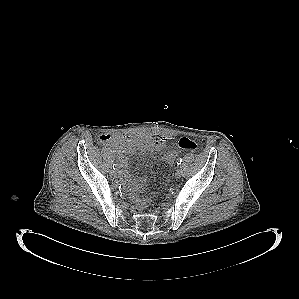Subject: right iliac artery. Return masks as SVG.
<instances>
[{
    "label": "right iliac artery",
    "instance_id": "82829eb1",
    "mask_svg": "<svg viewBox=\"0 0 299 299\" xmlns=\"http://www.w3.org/2000/svg\"><path fill=\"white\" fill-rule=\"evenodd\" d=\"M113 169H115V164H113Z\"/></svg>",
    "mask_w": 299,
    "mask_h": 299
}]
</instances>
